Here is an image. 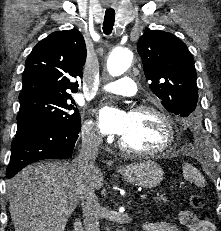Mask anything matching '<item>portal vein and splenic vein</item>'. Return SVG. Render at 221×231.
<instances>
[{
  "label": "portal vein and splenic vein",
  "instance_id": "1",
  "mask_svg": "<svg viewBox=\"0 0 221 231\" xmlns=\"http://www.w3.org/2000/svg\"><path fill=\"white\" fill-rule=\"evenodd\" d=\"M147 196H148L147 194H142V195H140V198H141V199H146Z\"/></svg>",
  "mask_w": 221,
  "mask_h": 231
}]
</instances>
